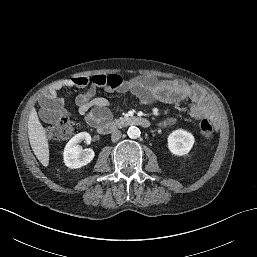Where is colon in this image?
I'll use <instances>...</instances> for the list:
<instances>
[{
	"label": "colon",
	"instance_id": "1",
	"mask_svg": "<svg viewBox=\"0 0 257 257\" xmlns=\"http://www.w3.org/2000/svg\"><path fill=\"white\" fill-rule=\"evenodd\" d=\"M78 83H84L77 80ZM77 124L72 117L62 116L54 123L46 128L47 136L56 141H62L70 138L77 132ZM200 131L205 140H210L213 137V125L208 119H203L200 122Z\"/></svg>",
	"mask_w": 257,
	"mask_h": 257
}]
</instances>
